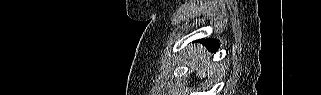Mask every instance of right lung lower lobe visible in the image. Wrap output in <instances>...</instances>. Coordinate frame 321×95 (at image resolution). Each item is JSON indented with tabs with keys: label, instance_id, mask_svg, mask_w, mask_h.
Returning <instances> with one entry per match:
<instances>
[{
	"label": "right lung lower lobe",
	"instance_id": "obj_1",
	"mask_svg": "<svg viewBox=\"0 0 321 95\" xmlns=\"http://www.w3.org/2000/svg\"><path fill=\"white\" fill-rule=\"evenodd\" d=\"M196 42H201L203 43L204 45L207 46V48L212 51V52H216L219 48V43L217 40H214V39H206V40H198Z\"/></svg>",
	"mask_w": 321,
	"mask_h": 95
}]
</instances>
